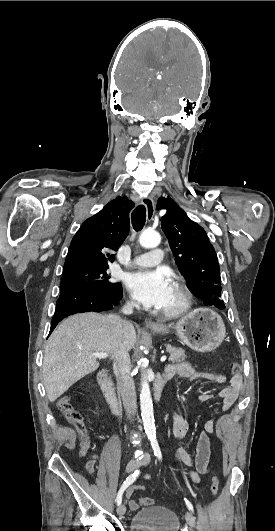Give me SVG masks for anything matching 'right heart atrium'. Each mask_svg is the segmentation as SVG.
I'll return each instance as SVG.
<instances>
[{
    "label": "right heart atrium",
    "mask_w": 275,
    "mask_h": 531,
    "mask_svg": "<svg viewBox=\"0 0 275 531\" xmlns=\"http://www.w3.org/2000/svg\"><path fill=\"white\" fill-rule=\"evenodd\" d=\"M128 304H129V306H134V301H133L132 299H130V300L128 301Z\"/></svg>",
    "instance_id": "d8ad5b80"
}]
</instances>
